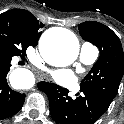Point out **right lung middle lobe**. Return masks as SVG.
Listing matches in <instances>:
<instances>
[{
  "instance_id": "obj_1",
  "label": "right lung middle lobe",
  "mask_w": 124,
  "mask_h": 124,
  "mask_svg": "<svg viewBox=\"0 0 124 124\" xmlns=\"http://www.w3.org/2000/svg\"><path fill=\"white\" fill-rule=\"evenodd\" d=\"M29 46H35L28 36L12 21L0 17V55L23 57Z\"/></svg>"
}]
</instances>
